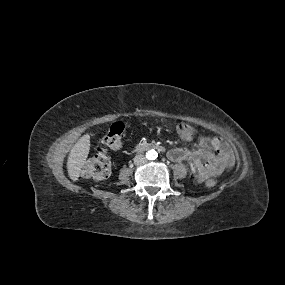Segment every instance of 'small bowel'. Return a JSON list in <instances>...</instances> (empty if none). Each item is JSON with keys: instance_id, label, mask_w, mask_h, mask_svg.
Returning <instances> with one entry per match:
<instances>
[{"instance_id": "1", "label": "small bowel", "mask_w": 285, "mask_h": 285, "mask_svg": "<svg viewBox=\"0 0 285 285\" xmlns=\"http://www.w3.org/2000/svg\"><path fill=\"white\" fill-rule=\"evenodd\" d=\"M198 142L200 146L198 150L172 149L168 154L170 160L175 162L190 161L198 179L210 175H220L233 167V153L225 140L219 137H201Z\"/></svg>"}]
</instances>
